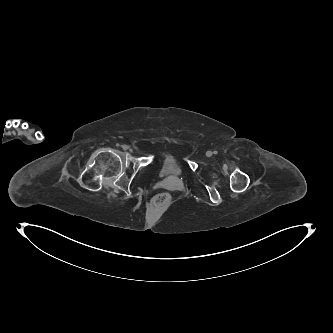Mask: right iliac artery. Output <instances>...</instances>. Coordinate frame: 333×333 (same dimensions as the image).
<instances>
[{"label": "right iliac artery", "instance_id": "right-iliac-artery-1", "mask_svg": "<svg viewBox=\"0 0 333 333\" xmlns=\"http://www.w3.org/2000/svg\"><path fill=\"white\" fill-rule=\"evenodd\" d=\"M122 148H123L124 150H127V149H128V146H127V145H122Z\"/></svg>", "mask_w": 333, "mask_h": 333}]
</instances>
